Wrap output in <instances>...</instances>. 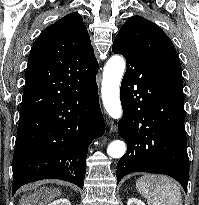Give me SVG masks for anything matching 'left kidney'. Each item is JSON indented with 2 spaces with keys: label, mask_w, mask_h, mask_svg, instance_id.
I'll return each mask as SVG.
<instances>
[{
  "label": "left kidney",
  "mask_w": 199,
  "mask_h": 205,
  "mask_svg": "<svg viewBox=\"0 0 199 205\" xmlns=\"http://www.w3.org/2000/svg\"><path fill=\"white\" fill-rule=\"evenodd\" d=\"M127 205H145V203L137 198H129Z\"/></svg>",
  "instance_id": "obj_1"
}]
</instances>
